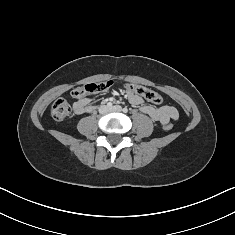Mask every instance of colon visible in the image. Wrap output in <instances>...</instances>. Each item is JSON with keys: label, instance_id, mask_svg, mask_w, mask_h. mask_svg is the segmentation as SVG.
<instances>
[{"label": "colon", "instance_id": "colon-1", "mask_svg": "<svg viewBox=\"0 0 235 235\" xmlns=\"http://www.w3.org/2000/svg\"><path fill=\"white\" fill-rule=\"evenodd\" d=\"M113 85H114V81L112 80L90 82L83 86L75 88L71 92V96L73 98H82L89 94L107 91ZM125 88L128 91L144 98L145 100L153 104H161L163 102V97L159 93L155 92L154 90L150 88L137 85V84H126ZM51 114H52V117L57 121L64 120L70 114L69 103L63 98L57 99L51 107ZM171 129H172V124L167 123L165 125V130L169 131Z\"/></svg>", "mask_w": 235, "mask_h": 235}]
</instances>
